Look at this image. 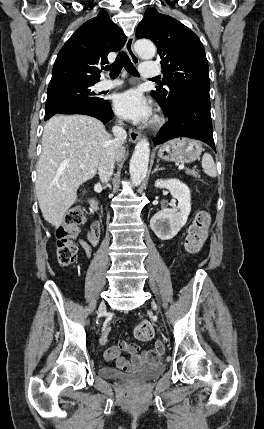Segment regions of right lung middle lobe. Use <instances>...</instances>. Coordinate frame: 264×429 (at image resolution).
<instances>
[{"label":"right lung middle lobe","instance_id":"obj_1","mask_svg":"<svg viewBox=\"0 0 264 429\" xmlns=\"http://www.w3.org/2000/svg\"><path fill=\"white\" fill-rule=\"evenodd\" d=\"M94 84H67L48 88L45 120L74 104L101 105L104 100L93 91Z\"/></svg>","mask_w":264,"mask_h":429}]
</instances>
